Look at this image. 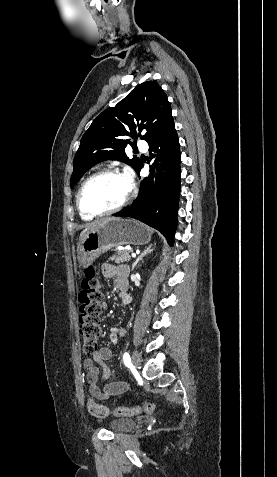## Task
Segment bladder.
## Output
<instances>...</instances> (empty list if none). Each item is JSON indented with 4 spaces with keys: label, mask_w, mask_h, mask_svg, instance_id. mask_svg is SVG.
I'll return each mask as SVG.
<instances>
[{
    "label": "bladder",
    "mask_w": 277,
    "mask_h": 477,
    "mask_svg": "<svg viewBox=\"0 0 277 477\" xmlns=\"http://www.w3.org/2000/svg\"><path fill=\"white\" fill-rule=\"evenodd\" d=\"M136 421L130 418H116L109 424L110 429L116 433H124L136 427Z\"/></svg>",
    "instance_id": "obj_1"
}]
</instances>
